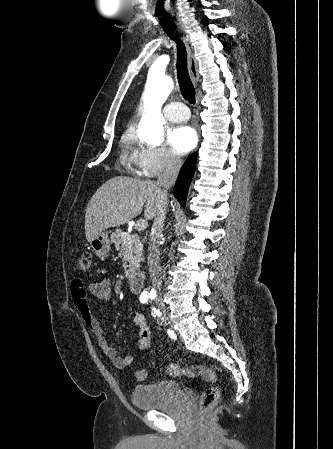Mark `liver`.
<instances>
[{"mask_svg":"<svg viewBox=\"0 0 333 449\" xmlns=\"http://www.w3.org/2000/svg\"><path fill=\"white\" fill-rule=\"evenodd\" d=\"M167 200L157 182L114 177L106 181L90 199L85 214L86 239L90 242L100 232L123 225L141 214L152 220L159 206Z\"/></svg>","mask_w":333,"mask_h":449,"instance_id":"6515ba94","label":"liver"}]
</instances>
